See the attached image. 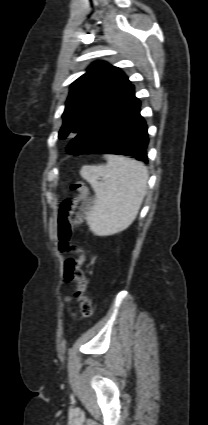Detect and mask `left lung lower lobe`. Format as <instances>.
Instances as JSON below:
<instances>
[{"instance_id": "1", "label": "left lung lower lobe", "mask_w": 208, "mask_h": 425, "mask_svg": "<svg viewBox=\"0 0 208 425\" xmlns=\"http://www.w3.org/2000/svg\"><path fill=\"white\" fill-rule=\"evenodd\" d=\"M80 154H119L147 162V126L129 85L75 137Z\"/></svg>"}]
</instances>
